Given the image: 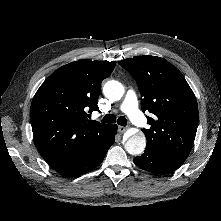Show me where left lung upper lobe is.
Segmentation results:
<instances>
[{"mask_svg":"<svg viewBox=\"0 0 221 221\" xmlns=\"http://www.w3.org/2000/svg\"><path fill=\"white\" fill-rule=\"evenodd\" d=\"M119 65L136 80L143 99L142 111H149V129H143L146 150L186 159L198 126L196 97L180 71L163 58L136 56Z\"/></svg>","mask_w":221,"mask_h":221,"instance_id":"5c2ea615","label":"left lung upper lobe"}]
</instances>
